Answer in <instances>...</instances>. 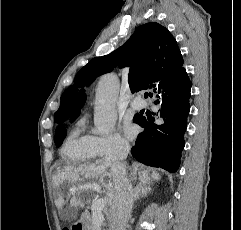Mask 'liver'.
<instances>
[{
	"label": "liver",
	"instance_id": "1",
	"mask_svg": "<svg viewBox=\"0 0 241 230\" xmlns=\"http://www.w3.org/2000/svg\"><path fill=\"white\" fill-rule=\"evenodd\" d=\"M161 178L159 173L152 172L148 174V170H143L139 175L141 185H150L154 181H159ZM57 183L67 180L71 183L69 193L72 194L70 200V207L62 212L65 216L71 208H82L84 203L82 201L81 193L84 191L94 190V186L105 193L107 202L112 204L114 198V184L112 182V174L109 166L104 161H97L95 163H88L78 167H64L58 172L55 177ZM65 204L64 197L59 192L58 199L55 200V205L58 209H62Z\"/></svg>",
	"mask_w": 241,
	"mask_h": 230
}]
</instances>
